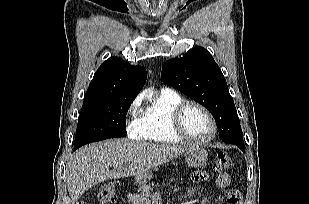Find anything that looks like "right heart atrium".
I'll return each instance as SVG.
<instances>
[{
    "instance_id": "d8ad5b80",
    "label": "right heart atrium",
    "mask_w": 309,
    "mask_h": 204,
    "mask_svg": "<svg viewBox=\"0 0 309 204\" xmlns=\"http://www.w3.org/2000/svg\"><path fill=\"white\" fill-rule=\"evenodd\" d=\"M139 106L140 99H135L129 107V114L131 116V119L127 122V131L128 134L134 138H138L140 136V127L137 118Z\"/></svg>"
}]
</instances>
